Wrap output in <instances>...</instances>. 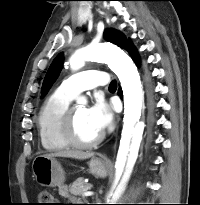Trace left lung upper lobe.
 <instances>
[{
  "label": "left lung upper lobe",
  "instance_id": "1",
  "mask_svg": "<svg viewBox=\"0 0 200 205\" xmlns=\"http://www.w3.org/2000/svg\"><path fill=\"white\" fill-rule=\"evenodd\" d=\"M105 38L111 42L116 44L117 46L124 48L128 43L125 36L118 31L109 29L106 30L104 33ZM63 67V54L60 53L57 57L53 60L51 66L49 67L48 72L43 81L42 89H41V97H44L52 84L57 79L61 69Z\"/></svg>",
  "mask_w": 200,
  "mask_h": 205
}]
</instances>
